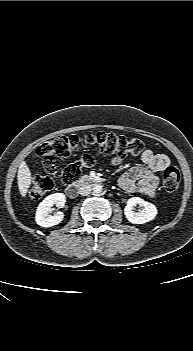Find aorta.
I'll list each match as a JSON object with an SVG mask.
<instances>
[{"mask_svg":"<svg viewBox=\"0 0 193 351\" xmlns=\"http://www.w3.org/2000/svg\"><path fill=\"white\" fill-rule=\"evenodd\" d=\"M102 190H103V188H102V186H101L100 184L95 185V186L93 187V192L96 193V194L101 193Z\"/></svg>","mask_w":193,"mask_h":351,"instance_id":"aorta-1","label":"aorta"}]
</instances>
